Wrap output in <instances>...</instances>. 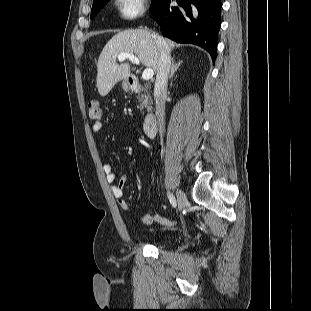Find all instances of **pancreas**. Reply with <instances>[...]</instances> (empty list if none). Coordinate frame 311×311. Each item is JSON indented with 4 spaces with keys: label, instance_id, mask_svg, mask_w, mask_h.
<instances>
[{
    "label": "pancreas",
    "instance_id": "obj_1",
    "mask_svg": "<svg viewBox=\"0 0 311 311\" xmlns=\"http://www.w3.org/2000/svg\"><path fill=\"white\" fill-rule=\"evenodd\" d=\"M143 91V90H142ZM138 101L140 102V108L146 107L147 109L150 108L151 105V97L149 94H138L137 96Z\"/></svg>",
    "mask_w": 311,
    "mask_h": 311
}]
</instances>
